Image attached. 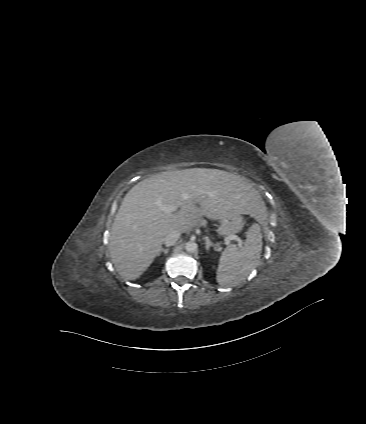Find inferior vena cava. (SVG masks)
Here are the masks:
<instances>
[{"mask_svg":"<svg viewBox=\"0 0 366 424\" xmlns=\"http://www.w3.org/2000/svg\"><path fill=\"white\" fill-rule=\"evenodd\" d=\"M181 233L178 230H172L164 237L163 242L166 246H173L180 238Z\"/></svg>","mask_w":366,"mask_h":424,"instance_id":"obj_1","label":"inferior vena cava"}]
</instances>
